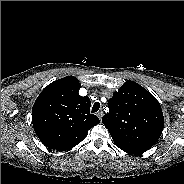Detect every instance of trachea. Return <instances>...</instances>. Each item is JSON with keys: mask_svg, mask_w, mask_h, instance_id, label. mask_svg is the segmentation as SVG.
Listing matches in <instances>:
<instances>
[{"mask_svg": "<svg viewBox=\"0 0 184 184\" xmlns=\"http://www.w3.org/2000/svg\"><path fill=\"white\" fill-rule=\"evenodd\" d=\"M100 108V103L99 102H95L93 107H92V113H95L99 110Z\"/></svg>", "mask_w": 184, "mask_h": 184, "instance_id": "1", "label": "trachea"}]
</instances>
